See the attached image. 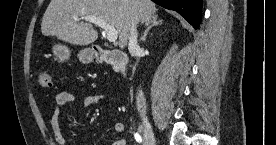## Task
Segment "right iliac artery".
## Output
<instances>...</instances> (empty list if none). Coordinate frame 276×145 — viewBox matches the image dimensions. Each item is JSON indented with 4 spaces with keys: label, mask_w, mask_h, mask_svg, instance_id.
Here are the masks:
<instances>
[{
    "label": "right iliac artery",
    "mask_w": 276,
    "mask_h": 145,
    "mask_svg": "<svg viewBox=\"0 0 276 145\" xmlns=\"http://www.w3.org/2000/svg\"><path fill=\"white\" fill-rule=\"evenodd\" d=\"M134 138H135V140H136L138 143H141V142H142V138H141V136H140L139 133H135V134H134Z\"/></svg>",
    "instance_id": "82829eb1"
}]
</instances>
